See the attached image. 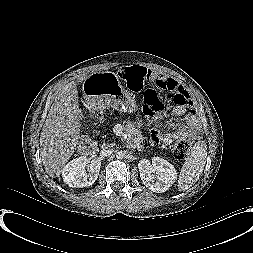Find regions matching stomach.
I'll list each match as a JSON object with an SVG mask.
<instances>
[{
  "label": "stomach",
  "mask_w": 253,
  "mask_h": 253,
  "mask_svg": "<svg viewBox=\"0 0 253 253\" xmlns=\"http://www.w3.org/2000/svg\"><path fill=\"white\" fill-rule=\"evenodd\" d=\"M82 89L86 101L94 108L112 107L128 113L137 109L134 97L125 92L115 74H92L83 82Z\"/></svg>",
  "instance_id": "obj_1"
}]
</instances>
